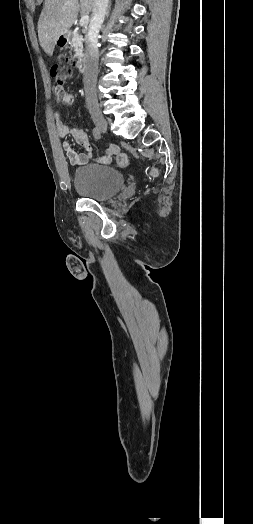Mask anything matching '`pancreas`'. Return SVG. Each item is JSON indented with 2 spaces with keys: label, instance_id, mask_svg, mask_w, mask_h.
<instances>
[{
  "label": "pancreas",
  "instance_id": "pancreas-1",
  "mask_svg": "<svg viewBox=\"0 0 253 524\" xmlns=\"http://www.w3.org/2000/svg\"><path fill=\"white\" fill-rule=\"evenodd\" d=\"M70 44H71V48L74 49L75 51V57H77L78 59H81L84 56L83 37L77 31L73 32Z\"/></svg>",
  "mask_w": 253,
  "mask_h": 524
}]
</instances>
